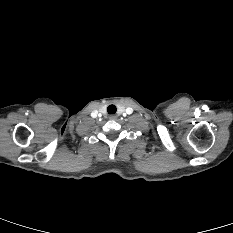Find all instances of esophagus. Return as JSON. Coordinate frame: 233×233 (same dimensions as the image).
<instances>
[{
	"label": "esophagus",
	"instance_id": "1",
	"mask_svg": "<svg viewBox=\"0 0 233 233\" xmlns=\"http://www.w3.org/2000/svg\"><path fill=\"white\" fill-rule=\"evenodd\" d=\"M116 118H117L116 115H110V116H109V119H111V120H115Z\"/></svg>",
	"mask_w": 233,
	"mask_h": 233
}]
</instances>
